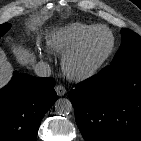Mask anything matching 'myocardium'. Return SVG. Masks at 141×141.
Wrapping results in <instances>:
<instances>
[{"mask_svg": "<svg viewBox=\"0 0 141 141\" xmlns=\"http://www.w3.org/2000/svg\"><path fill=\"white\" fill-rule=\"evenodd\" d=\"M98 30H105L108 32L111 38L110 46L106 53L96 62L80 67L77 65L78 57L85 46L88 39L91 37L93 33H95ZM116 45V39L114 36V33L111 29H109L107 26L104 25H95L93 28H91L79 41L78 43L69 50L62 59V68L66 76L74 81H85L93 76H95L108 62L110 57L112 56L114 49Z\"/></svg>", "mask_w": 141, "mask_h": 141, "instance_id": "obj_1", "label": "myocardium"}]
</instances>
